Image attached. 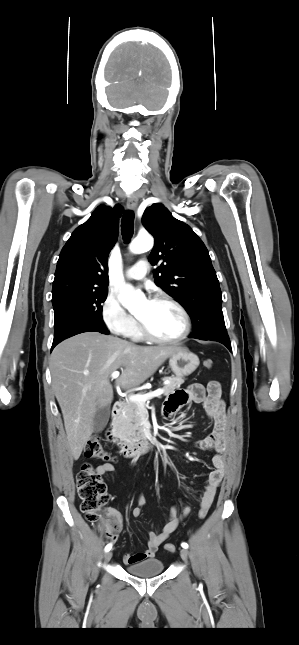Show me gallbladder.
<instances>
[{
	"label": "gallbladder",
	"instance_id": "gallbladder-1",
	"mask_svg": "<svg viewBox=\"0 0 299 645\" xmlns=\"http://www.w3.org/2000/svg\"><path fill=\"white\" fill-rule=\"evenodd\" d=\"M110 417V406H104L97 409L93 420V431L101 432L107 425Z\"/></svg>",
	"mask_w": 299,
	"mask_h": 645
}]
</instances>
